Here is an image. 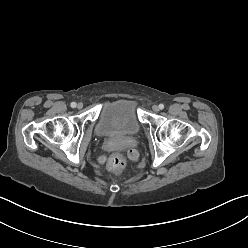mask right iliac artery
<instances>
[{
	"label": "right iliac artery",
	"mask_w": 248,
	"mask_h": 248,
	"mask_svg": "<svg viewBox=\"0 0 248 248\" xmlns=\"http://www.w3.org/2000/svg\"><path fill=\"white\" fill-rule=\"evenodd\" d=\"M71 107H72V108H75V107H76V103H75V102H72V103H71Z\"/></svg>",
	"instance_id": "obj_1"
}]
</instances>
